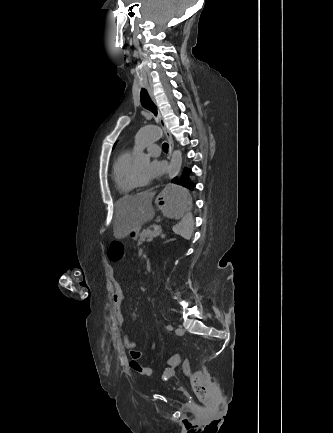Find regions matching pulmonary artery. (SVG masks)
<instances>
[{
	"instance_id": "1",
	"label": "pulmonary artery",
	"mask_w": 333,
	"mask_h": 433,
	"mask_svg": "<svg viewBox=\"0 0 333 433\" xmlns=\"http://www.w3.org/2000/svg\"><path fill=\"white\" fill-rule=\"evenodd\" d=\"M148 152L151 153L152 155H158L160 153V148L158 145L155 144H151L148 146L147 148Z\"/></svg>"
}]
</instances>
